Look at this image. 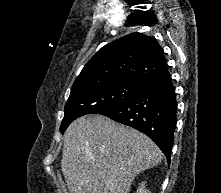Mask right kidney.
<instances>
[{
  "label": "right kidney",
  "instance_id": "right-kidney-1",
  "mask_svg": "<svg viewBox=\"0 0 221 193\" xmlns=\"http://www.w3.org/2000/svg\"><path fill=\"white\" fill-rule=\"evenodd\" d=\"M137 193H151L150 191H147L145 188V182L141 184V187L138 188Z\"/></svg>",
  "mask_w": 221,
  "mask_h": 193
}]
</instances>
